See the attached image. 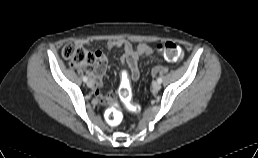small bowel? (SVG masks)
I'll use <instances>...</instances> for the list:
<instances>
[{
    "label": "small bowel",
    "instance_id": "small-bowel-1",
    "mask_svg": "<svg viewBox=\"0 0 258 158\" xmlns=\"http://www.w3.org/2000/svg\"><path fill=\"white\" fill-rule=\"evenodd\" d=\"M89 41L82 40L79 44L89 45ZM108 49H121L123 50L122 62L126 63L131 71V79L137 80L139 78L138 61L143 55H150L153 53V48L148 43H139L134 47L129 41L125 39H113L107 42ZM97 63L94 68L89 70L92 76V81L96 86L93 94L95 98L102 103H110L113 101V95H103L100 91L103 85L104 75L108 67V60L105 54L101 51L95 52Z\"/></svg>",
    "mask_w": 258,
    "mask_h": 158
}]
</instances>
